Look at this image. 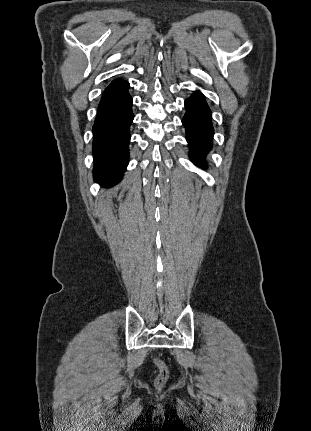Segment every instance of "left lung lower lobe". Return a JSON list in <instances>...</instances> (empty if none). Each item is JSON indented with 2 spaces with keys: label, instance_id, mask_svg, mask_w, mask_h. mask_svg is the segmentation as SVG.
I'll list each match as a JSON object with an SVG mask.
<instances>
[{
  "label": "left lung lower lobe",
  "instance_id": "1",
  "mask_svg": "<svg viewBox=\"0 0 311 431\" xmlns=\"http://www.w3.org/2000/svg\"><path fill=\"white\" fill-rule=\"evenodd\" d=\"M186 114L182 120L190 145V157L202 166L205 154L211 148L213 127L211 111L200 92H195L185 101Z\"/></svg>",
  "mask_w": 311,
  "mask_h": 431
}]
</instances>
